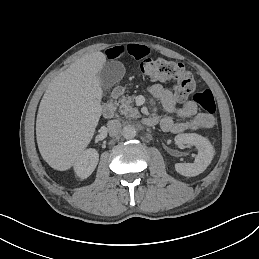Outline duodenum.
<instances>
[{
  "label": "duodenum",
  "mask_w": 259,
  "mask_h": 259,
  "mask_svg": "<svg viewBox=\"0 0 259 259\" xmlns=\"http://www.w3.org/2000/svg\"><path fill=\"white\" fill-rule=\"evenodd\" d=\"M122 93V88L117 87L113 90L112 99L105 101L102 105V113L106 118H111L114 114V100L117 99ZM143 123L147 126H153L157 124L155 117H146L143 119Z\"/></svg>",
  "instance_id": "1"
}]
</instances>
